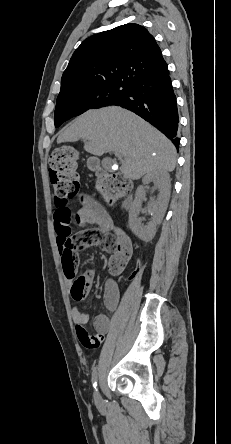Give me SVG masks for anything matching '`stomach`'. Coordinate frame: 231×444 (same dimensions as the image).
<instances>
[{"label":"stomach","instance_id":"1","mask_svg":"<svg viewBox=\"0 0 231 444\" xmlns=\"http://www.w3.org/2000/svg\"><path fill=\"white\" fill-rule=\"evenodd\" d=\"M88 166L90 169L95 170L98 168V162L95 159H90L88 162Z\"/></svg>","mask_w":231,"mask_h":444}]
</instances>
